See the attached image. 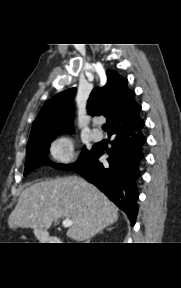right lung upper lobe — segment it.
<instances>
[{
	"label": "right lung upper lobe",
	"mask_w": 181,
	"mask_h": 288,
	"mask_svg": "<svg viewBox=\"0 0 181 288\" xmlns=\"http://www.w3.org/2000/svg\"><path fill=\"white\" fill-rule=\"evenodd\" d=\"M106 74L107 84L93 89L90 94L87 105L89 113L103 114L108 118L109 135L139 127L143 122L139 116L141 106L135 102V92L128 89L127 79L110 70ZM75 92V88L62 91L43 105L33 122L29 140L43 133L73 130Z\"/></svg>",
	"instance_id": "1"
}]
</instances>
